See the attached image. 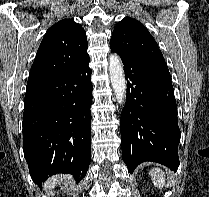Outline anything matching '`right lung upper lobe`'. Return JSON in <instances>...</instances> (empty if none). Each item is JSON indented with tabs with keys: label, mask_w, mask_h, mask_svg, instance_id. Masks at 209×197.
<instances>
[{
	"label": "right lung upper lobe",
	"mask_w": 209,
	"mask_h": 197,
	"mask_svg": "<svg viewBox=\"0 0 209 197\" xmlns=\"http://www.w3.org/2000/svg\"><path fill=\"white\" fill-rule=\"evenodd\" d=\"M86 32L73 19H63L46 32L34 63L27 87L41 84L75 67L88 57Z\"/></svg>",
	"instance_id": "obj_1"
}]
</instances>
